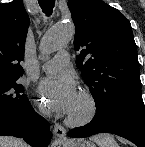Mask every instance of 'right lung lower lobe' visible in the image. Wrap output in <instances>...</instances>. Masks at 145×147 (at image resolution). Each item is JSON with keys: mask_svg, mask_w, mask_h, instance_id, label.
Segmentation results:
<instances>
[{"mask_svg": "<svg viewBox=\"0 0 145 147\" xmlns=\"http://www.w3.org/2000/svg\"><path fill=\"white\" fill-rule=\"evenodd\" d=\"M0 136H15L33 147H46L52 134L48 122L28 103L23 111L0 114Z\"/></svg>", "mask_w": 145, "mask_h": 147, "instance_id": "98d812e1", "label": "right lung lower lobe"}]
</instances>
